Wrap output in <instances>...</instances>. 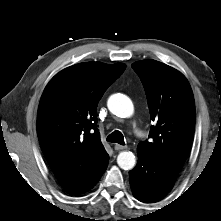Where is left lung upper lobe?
Here are the masks:
<instances>
[{"label":"left lung upper lobe","mask_w":221,"mask_h":221,"mask_svg":"<svg viewBox=\"0 0 221 221\" xmlns=\"http://www.w3.org/2000/svg\"><path fill=\"white\" fill-rule=\"evenodd\" d=\"M147 96L152 126L150 141L140 142L137 151L181 170L191 149L195 128V102L188 80L176 69L155 61L132 64Z\"/></svg>","instance_id":"5c2ea615"}]
</instances>
